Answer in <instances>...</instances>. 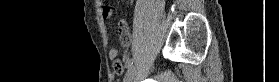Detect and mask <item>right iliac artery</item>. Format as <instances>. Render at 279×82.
I'll return each instance as SVG.
<instances>
[{"label":"right iliac artery","mask_w":279,"mask_h":82,"mask_svg":"<svg viewBox=\"0 0 279 82\" xmlns=\"http://www.w3.org/2000/svg\"><path fill=\"white\" fill-rule=\"evenodd\" d=\"M132 66H133V61L127 62L126 68H127L128 70H129L130 68H132Z\"/></svg>","instance_id":"82829eb1"}]
</instances>
